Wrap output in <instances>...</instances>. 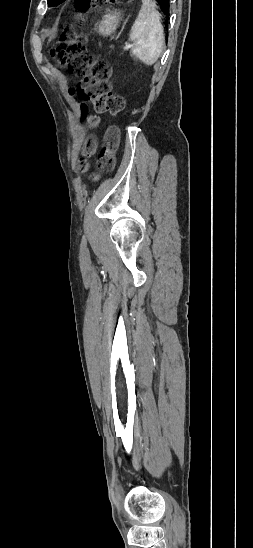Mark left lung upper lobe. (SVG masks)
Here are the masks:
<instances>
[{"mask_svg": "<svg viewBox=\"0 0 253 548\" xmlns=\"http://www.w3.org/2000/svg\"><path fill=\"white\" fill-rule=\"evenodd\" d=\"M60 1H62V0H48V6L53 7V6L57 5Z\"/></svg>", "mask_w": 253, "mask_h": 548, "instance_id": "left-lung-upper-lobe-1", "label": "left lung upper lobe"}]
</instances>
